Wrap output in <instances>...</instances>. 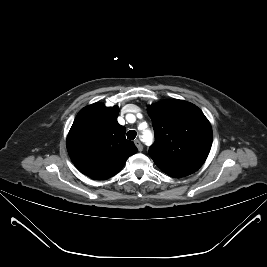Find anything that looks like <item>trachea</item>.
<instances>
[{
  "instance_id": "1",
  "label": "trachea",
  "mask_w": 267,
  "mask_h": 267,
  "mask_svg": "<svg viewBox=\"0 0 267 267\" xmlns=\"http://www.w3.org/2000/svg\"><path fill=\"white\" fill-rule=\"evenodd\" d=\"M136 135H137V132H136L135 130H129V131L127 132V138H128L129 140H134L135 137H136Z\"/></svg>"
}]
</instances>
